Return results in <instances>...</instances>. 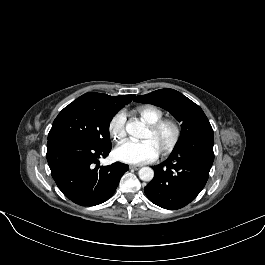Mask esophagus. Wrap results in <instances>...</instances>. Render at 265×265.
Listing matches in <instances>:
<instances>
[{
  "mask_svg": "<svg viewBox=\"0 0 265 265\" xmlns=\"http://www.w3.org/2000/svg\"><path fill=\"white\" fill-rule=\"evenodd\" d=\"M140 167V165H131L130 169L138 170Z\"/></svg>",
  "mask_w": 265,
  "mask_h": 265,
  "instance_id": "esophagus-1",
  "label": "esophagus"
}]
</instances>
